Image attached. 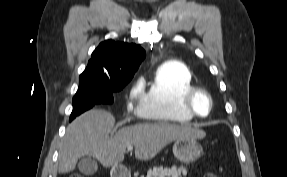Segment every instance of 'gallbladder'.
<instances>
[{"label": "gallbladder", "mask_w": 287, "mask_h": 177, "mask_svg": "<svg viewBox=\"0 0 287 177\" xmlns=\"http://www.w3.org/2000/svg\"><path fill=\"white\" fill-rule=\"evenodd\" d=\"M78 169L80 173L89 176L97 172L98 165L96 160L91 156H84L83 158L80 159L78 163Z\"/></svg>", "instance_id": "1"}]
</instances>
